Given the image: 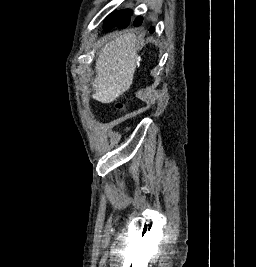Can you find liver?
<instances>
[{
  "label": "liver",
  "instance_id": "liver-1",
  "mask_svg": "<svg viewBox=\"0 0 256 267\" xmlns=\"http://www.w3.org/2000/svg\"><path fill=\"white\" fill-rule=\"evenodd\" d=\"M136 44L132 30H125L124 34L105 44L96 60V76L91 82L94 100L111 104L129 90L139 62L135 52Z\"/></svg>",
  "mask_w": 256,
  "mask_h": 267
}]
</instances>
